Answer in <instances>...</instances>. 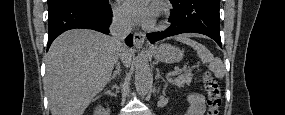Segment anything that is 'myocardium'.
<instances>
[{
	"label": "myocardium",
	"instance_id": "f54148a6",
	"mask_svg": "<svg viewBox=\"0 0 285 115\" xmlns=\"http://www.w3.org/2000/svg\"><path fill=\"white\" fill-rule=\"evenodd\" d=\"M157 19L155 23L150 24L148 28L156 30L165 26L169 15V8L164 2H159L156 6Z\"/></svg>",
	"mask_w": 285,
	"mask_h": 115
}]
</instances>
